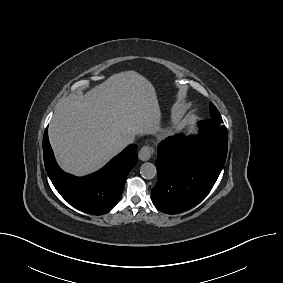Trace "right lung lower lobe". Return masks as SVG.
<instances>
[{"mask_svg": "<svg viewBox=\"0 0 283 283\" xmlns=\"http://www.w3.org/2000/svg\"><path fill=\"white\" fill-rule=\"evenodd\" d=\"M137 145H130L99 171L75 177L57 165L47 129L43 137L44 163L47 174L60 195L73 207L88 214L102 215L118 203L130 170L137 163Z\"/></svg>", "mask_w": 283, "mask_h": 283, "instance_id": "1", "label": "right lung lower lobe"}]
</instances>
